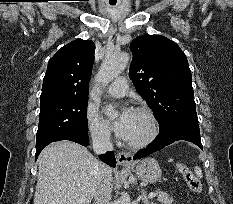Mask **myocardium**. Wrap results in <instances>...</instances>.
<instances>
[{
  "mask_svg": "<svg viewBox=\"0 0 233 204\" xmlns=\"http://www.w3.org/2000/svg\"><path fill=\"white\" fill-rule=\"evenodd\" d=\"M133 111L145 115L150 125L149 133L141 141L130 142L125 140V144L128 148L132 150H140L152 144L154 140L157 138L159 134V124L155 114L151 109L147 107L139 106L134 108Z\"/></svg>",
  "mask_w": 233,
  "mask_h": 204,
  "instance_id": "f54148a6",
  "label": "myocardium"
}]
</instances>
